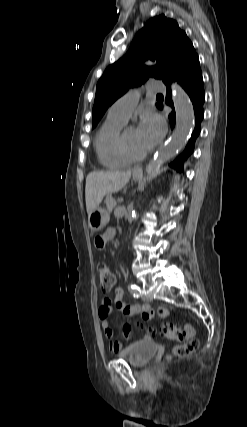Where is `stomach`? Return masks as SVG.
<instances>
[{
	"mask_svg": "<svg viewBox=\"0 0 247 427\" xmlns=\"http://www.w3.org/2000/svg\"><path fill=\"white\" fill-rule=\"evenodd\" d=\"M138 179V177H135ZM109 221V211L98 207L88 217V224L92 231H100Z\"/></svg>",
	"mask_w": 247,
	"mask_h": 427,
	"instance_id": "obj_1",
	"label": "stomach"
}]
</instances>
